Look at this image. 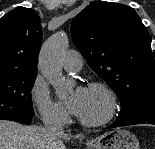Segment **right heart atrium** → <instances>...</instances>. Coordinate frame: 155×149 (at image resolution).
Wrapping results in <instances>:
<instances>
[{
    "label": "right heart atrium",
    "instance_id": "1",
    "mask_svg": "<svg viewBox=\"0 0 155 149\" xmlns=\"http://www.w3.org/2000/svg\"><path fill=\"white\" fill-rule=\"evenodd\" d=\"M31 97L43 121L59 126L67 123V111L51 98L47 85L40 78L32 85Z\"/></svg>",
    "mask_w": 155,
    "mask_h": 149
}]
</instances>
